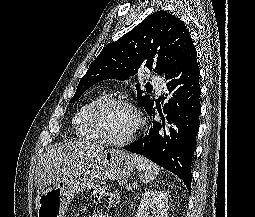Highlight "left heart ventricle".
Instances as JSON below:
<instances>
[{
	"instance_id": "left-heart-ventricle-1",
	"label": "left heart ventricle",
	"mask_w": 255,
	"mask_h": 217,
	"mask_svg": "<svg viewBox=\"0 0 255 217\" xmlns=\"http://www.w3.org/2000/svg\"><path fill=\"white\" fill-rule=\"evenodd\" d=\"M135 123L133 111L124 106L111 107L101 116L102 130L112 139L126 137L133 130Z\"/></svg>"
}]
</instances>
